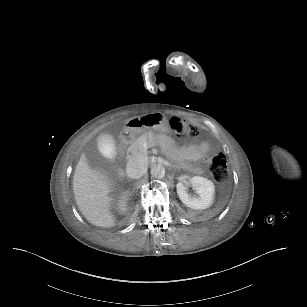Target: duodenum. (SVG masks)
I'll list each match as a JSON object with an SVG mask.
<instances>
[{
    "mask_svg": "<svg viewBox=\"0 0 307 307\" xmlns=\"http://www.w3.org/2000/svg\"><path fill=\"white\" fill-rule=\"evenodd\" d=\"M121 133L122 135V143L119 145V151L118 154L121 157L126 156L127 154V149H128V143L131 140V134L133 133V128L130 125H124L121 128Z\"/></svg>",
    "mask_w": 307,
    "mask_h": 307,
    "instance_id": "obj_1",
    "label": "duodenum"
}]
</instances>
